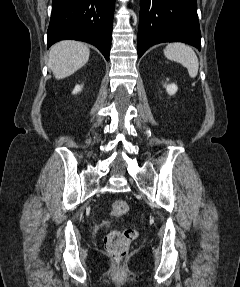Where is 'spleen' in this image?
<instances>
[{
    "label": "spleen",
    "instance_id": "1",
    "mask_svg": "<svg viewBox=\"0 0 240 287\" xmlns=\"http://www.w3.org/2000/svg\"><path fill=\"white\" fill-rule=\"evenodd\" d=\"M165 56L187 68L189 76L195 78L198 74L199 62L191 47L184 43H170L164 49Z\"/></svg>",
    "mask_w": 240,
    "mask_h": 287
}]
</instances>
